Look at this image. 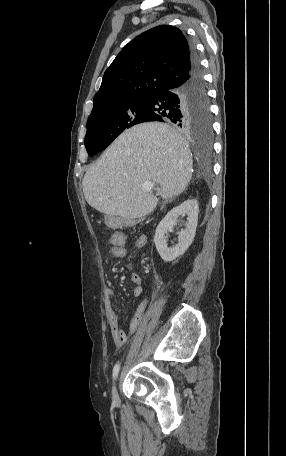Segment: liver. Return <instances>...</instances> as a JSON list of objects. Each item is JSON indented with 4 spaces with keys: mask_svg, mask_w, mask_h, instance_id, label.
<instances>
[{
    "mask_svg": "<svg viewBox=\"0 0 286 456\" xmlns=\"http://www.w3.org/2000/svg\"><path fill=\"white\" fill-rule=\"evenodd\" d=\"M188 143L170 125L149 122L124 131L88 169L83 178L87 203L101 213L136 219L151 213L158 198L144 192L152 181L158 195L181 194L192 177Z\"/></svg>",
    "mask_w": 286,
    "mask_h": 456,
    "instance_id": "liver-1",
    "label": "liver"
}]
</instances>
